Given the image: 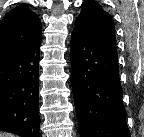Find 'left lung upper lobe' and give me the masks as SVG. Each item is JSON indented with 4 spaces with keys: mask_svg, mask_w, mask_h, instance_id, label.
I'll return each mask as SVG.
<instances>
[{
    "mask_svg": "<svg viewBox=\"0 0 144 137\" xmlns=\"http://www.w3.org/2000/svg\"><path fill=\"white\" fill-rule=\"evenodd\" d=\"M75 26L82 28L93 38L116 45L115 26L111 15L100 4L87 0L82 4Z\"/></svg>",
    "mask_w": 144,
    "mask_h": 137,
    "instance_id": "obj_1",
    "label": "left lung upper lobe"
}]
</instances>
